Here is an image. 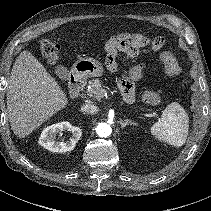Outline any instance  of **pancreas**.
<instances>
[{"label":"pancreas","instance_id":"cf45deb5","mask_svg":"<svg viewBox=\"0 0 211 211\" xmlns=\"http://www.w3.org/2000/svg\"><path fill=\"white\" fill-rule=\"evenodd\" d=\"M105 93L106 90L104 89L102 82L99 79H92L89 81V87L86 90V94L89 98L100 101Z\"/></svg>","mask_w":211,"mask_h":211}]
</instances>
